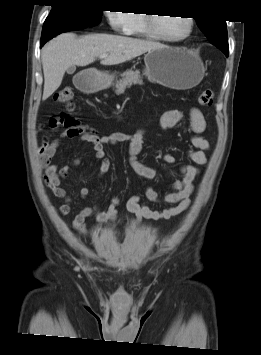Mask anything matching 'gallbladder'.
Returning a JSON list of instances; mask_svg holds the SVG:
<instances>
[{"instance_id": "1", "label": "gallbladder", "mask_w": 261, "mask_h": 355, "mask_svg": "<svg viewBox=\"0 0 261 355\" xmlns=\"http://www.w3.org/2000/svg\"><path fill=\"white\" fill-rule=\"evenodd\" d=\"M75 70H76V67H75V66H71V67H69V68L67 69V73L72 74V73L75 72Z\"/></svg>"}]
</instances>
